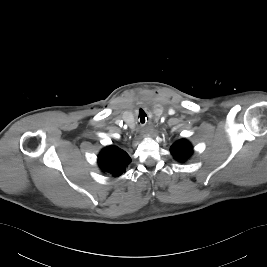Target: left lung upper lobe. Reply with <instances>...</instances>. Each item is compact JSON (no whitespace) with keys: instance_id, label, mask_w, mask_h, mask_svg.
<instances>
[{"instance_id":"5c2ea615","label":"left lung upper lobe","mask_w":267,"mask_h":267,"mask_svg":"<svg viewBox=\"0 0 267 267\" xmlns=\"http://www.w3.org/2000/svg\"><path fill=\"white\" fill-rule=\"evenodd\" d=\"M170 151L177 161L185 162L191 156L193 147L187 140L181 139L172 145Z\"/></svg>"}]
</instances>
